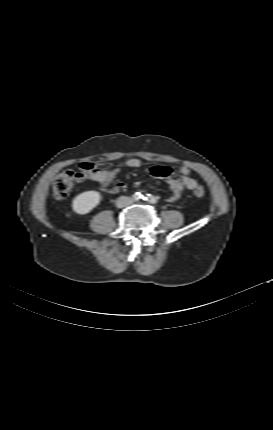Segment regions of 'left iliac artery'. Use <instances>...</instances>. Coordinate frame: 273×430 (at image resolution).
<instances>
[{
    "instance_id": "44dca946",
    "label": "left iliac artery",
    "mask_w": 273,
    "mask_h": 430,
    "mask_svg": "<svg viewBox=\"0 0 273 430\" xmlns=\"http://www.w3.org/2000/svg\"><path fill=\"white\" fill-rule=\"evenodd\" d=\"M143 200H145L151 204H156L158 202L157 198L151 194H146V196H144Z\"/></svg>"
}]
</instances>
